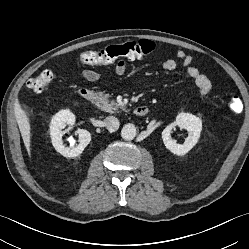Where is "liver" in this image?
Wrapping results in <instances>:
<instances>
[{
  "label": "liver",
  "instance_id": "liver-1",
  "mask_svg": "<svg viewBox=\"0 0 249 249\" xmlns=\"http://www.w3.org/2000/svg\"><path fill=\"white\" fill-rule=\"evenodd\" d=\"M15 116L17 119V123L21 132V136L24 142V145L30 154L31 148V127L29 123V118L26 114V112L21 108L19 103H16L15 105Z\"/></svg>",
  "mask_w": 249,
  "mask_h": 249
}]
</instances>
